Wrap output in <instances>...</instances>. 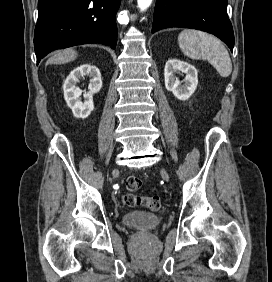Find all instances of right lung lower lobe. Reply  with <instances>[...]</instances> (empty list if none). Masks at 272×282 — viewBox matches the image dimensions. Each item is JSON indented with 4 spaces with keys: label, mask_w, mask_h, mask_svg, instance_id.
Listing matches in <instances>:
<instances>
[{
    "label": "right lung lower lobe",
    "mask_w": 272,
    "mask_h": 282,
    "mask_svg": "<svg viewBox=\"0 0 272 282\" xmlns=\"http://www.w3.org/2000/svg\"><path fill=\"white\" fill-rule=\"evenodd\" d=\"M121 0H39L34 32L37 64L55 49L86 43L116 47Z\"/></svg>",
    "instance_id": "98d812e1"
}]
</instances>
